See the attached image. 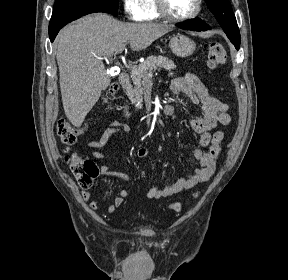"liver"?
Segmentation results:
<instances>
[{
  "label": "liver",
  "mask_w": 288,
  "mask_h": 280,
  "mask_svg": "<svg viewBox=\"0 0 288 280\" xmlns=\"http://www.w3.org/2000/svg\"><path fill=\"white\" fill-rule=\"evenodd\" d=\"M171 31L168 25L125 23L95 13L64 27L59 33L57 63L62 102L68 120L80 127L110 84L103 59L127 42L133 51L146 49Z\"/></svg>",
  "instance_id": "obj_1"
}]
</instances>
